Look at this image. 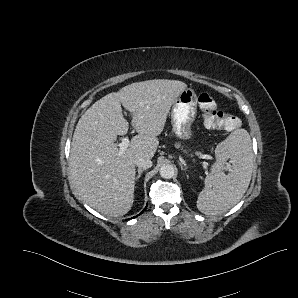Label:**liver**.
Masks as SVG:
<instances>
[{
	"instance_id": "obj_1",
	"label": "liver",
	"mask_w": 298,
	"mask_h": 298,
	"mask_svg": "<svg viewBox=\"0 0 298 298\" xmlns=\"http://www.w3.org/2000/svg\"><path fill=\"white\" fill-rule=\"evenodd\" d=\"M187 87L176 79L134 82L111 92L79 119L70 152V174L81 198L107 216L119 217L132 206L135 164L141 156L151 159L159 145L167 115L177 96ZM121 105L132 114L130 123ZM129 124L137 132L121 158L115 142L126 135Z\"/></svg>"
}]
</instances>
